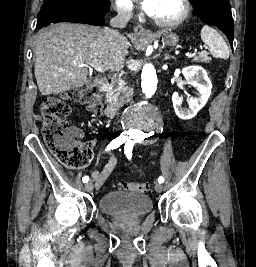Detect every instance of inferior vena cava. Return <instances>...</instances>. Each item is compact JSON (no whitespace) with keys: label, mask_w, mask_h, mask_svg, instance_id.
<instances>
[{"label":"inferior vena cava","mask_w":256,"mask_h":267,"mask_svg":"<svg viewBox=\"0 0 256 267\" xmlns=\"http://www.w3.org/2000/svg\"><path fill=\"white\" fill-rule=\"evenodd\" d=\"M132 18V6H117V16L110 20V26L112 28H126L127 22ZM108 36H114L118 40H126L125 36L120 34L119 30H106Z\"/></svg>","instance_id":"obj_1"}]
</instances>
